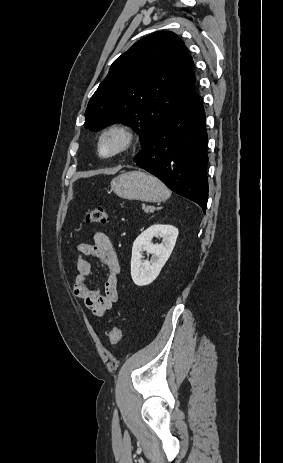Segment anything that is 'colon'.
<instances>
[{
  "instance_id": "obj_1",
  "label": "colon",
  "mask_w": 283,
  "mask_h": 463,
  "mask_svg": "<svg viewBox=\"0 0 283 463\" xmlns=\"http://www.w3.org/2000/svg\"><path fill=\"white\" fill-rule=\"evenodd\" d=\"M108 214L104 208L93 207L90 208L85 216L87 223L104 224L107 222ZM123 330L120 326H114L109 334V341L111 346H116L122 338Z\"/></svg>"
}]
</instances>
